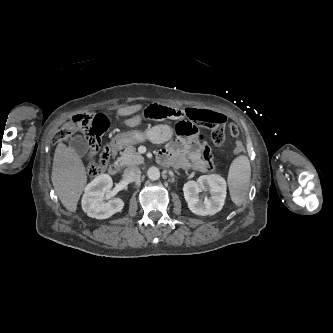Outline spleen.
Returning a JSON list of instances; mask_svg holds the SVG:
<instances>
[{"instance_id": "1", "label": "spleen", "mask_w": 333, "mask_h": 333, "mask_svg": "<svg viewBox=\"0 0 333 333\" xmlns=\"http://www.w3.org/2000/svg\"><path fill=\"white\" fill-rule=\"evenodd\" d=\"M251 166L246 155H240L232 162L228 174V186L233 203L240 206L248 196Z\"/></svg>"}]
</instances>
